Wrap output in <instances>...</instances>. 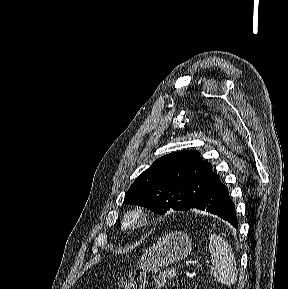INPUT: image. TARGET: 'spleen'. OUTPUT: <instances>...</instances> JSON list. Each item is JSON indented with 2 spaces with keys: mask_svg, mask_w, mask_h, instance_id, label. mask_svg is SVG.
Wrapping results in <instances>:
<instances>
[{
  "mask_svg": "<svg viewBox=\"0 0 288 289\" xmlns=\"http://www.w3.org/2000/svg\"><path fill=\"white\" fill-rule=\"evenodd\" d=\"M209 250L213 266V278L224 285L237 281L235 256L229 243L219 235H210Z\"/></svg>",
  "mask_w": 288,
  "mask_h": 289,
  "instance_id": "1",
  "label": "spleen"
}]
</instances>
